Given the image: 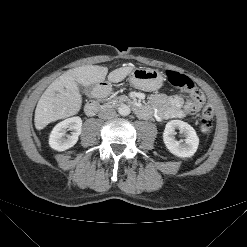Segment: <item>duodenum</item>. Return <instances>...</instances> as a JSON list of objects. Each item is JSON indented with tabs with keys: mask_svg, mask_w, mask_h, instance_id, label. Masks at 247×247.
Returning <instances> with one entry per match:
<instances>
[{
	"mask_svg": "<svg viewBox=\"0 0 247 247\" xmlns=\"http://www.w3.org/2000/svg\"><path fill=\"white\" fill-rule=\"evenodd\" d=\"M103 87L104 88L108 87V84H104ZM100 89L101 88H97L96 91H99ZM124 103L130 106L138 116L145 117L148 113V110L143 106L139 105L137 102H134L129 99H125ZM108 109H109L108 105L99 103L98 100L95 98H90L85 105V111L89 115H94L99 111L108 110Z\"/></svg>",
	"mask_w": 247,
	"mask_h": 247,
	"instance_id": "duodenum-1",
	"label": "duodenum"
}]
</instances>
